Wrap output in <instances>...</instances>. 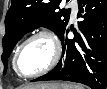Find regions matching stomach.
Returning <instances> with one entry per match:
<instances>
[{
  "instance_id": "stomach-1",
  "label": "stomach",
  "mask_w": 107,
  "mask_h": 89,
  "mask_svg": "<svg viewBox=\"0 0 107 89\" xmlns=\"http://www.w3.org/2000/svg\"><path fill=\"white\" fill-rule=\"evenodd\" d=\"M29 89H42V88H29ZM43 89H64V85H60L59 87H54V85H45Z\"/></svg>"
}]
</instances>
